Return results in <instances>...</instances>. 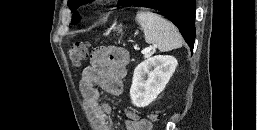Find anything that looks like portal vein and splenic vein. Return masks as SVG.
<instances>
[{"instance_id": "1", "label": "portal vein and splenic vein", "mask_w": 257, "mask_h": 130, "mask_svg": "<svg viewBox=\"0 0 257 130\" xmlns=\"http://www.w3.org/2000/svg\"><path fill=\"white\" fill-rule=\"evenodd\" d=\"M149 52H150L149 48H146V49L142 50V54H148Z\"/></svg>"}]
</instances>
